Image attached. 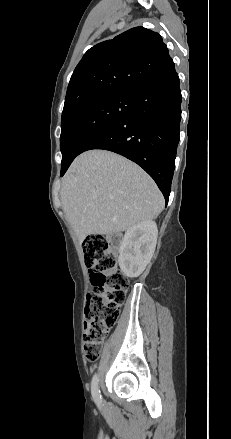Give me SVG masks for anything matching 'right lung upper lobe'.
Listing matches in <instances>:
<instances>
[{"instance_id":"cb5924a9","label":"right lung upper lobe","mask_w":231,"mask_h":439,"mask_svg":"<svg viewBox=\"0 0 231 439\" xmlns=\"http://www.w3.org/2000/svg\"><path fill=\"white\" fill-rule=\"evenodd\" d=\"M174 68L162 37L135 27L90 48L75 68L63 112L104 94L134 93Z\"/></svg>"}]
</instances>
